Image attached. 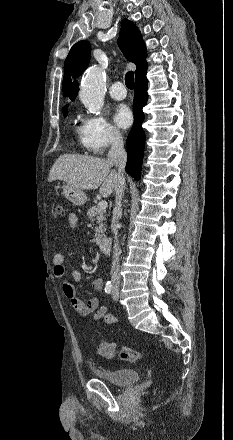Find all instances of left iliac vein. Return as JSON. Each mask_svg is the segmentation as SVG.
Instances as JSON below:
<instances>
[{"label":"left iliac vein","instance_id":"obj_1","mask_svg":"<svg viewBox=\"0 0 233 440\" xmlns=\"http://www.w3.org/2000/svg\"><path fill=\"white\" fill-rule=\"evenodd\" d=\"M112 298L113 300L117 301L119 298V289L117 286L114 287L113 292H112Z\"/></svg>","mask_w":233,"mask_h":440}]
</instances>
